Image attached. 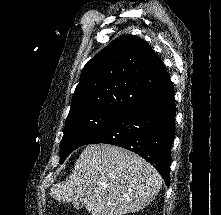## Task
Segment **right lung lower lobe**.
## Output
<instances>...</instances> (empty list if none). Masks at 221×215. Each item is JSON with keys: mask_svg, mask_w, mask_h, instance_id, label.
Instances as JSON below:
<instances>
[{"mask_svg": "<svg viewBox=\"0 0 221 215\" xmlns=\"http://www.w3.org/2000/svg\"><path fill=\"white\" fill-rule=\"evenodd\" d=\"M175 115L174 92L169 80L159 91L121 114L86 144H113L137 153L160 172L168 186Z\"/></svg>", "mask_w": 221, "mask_h": 215, "instance_id": "98d812e1", "label": "right lung lower lobe"}]
</instances>
